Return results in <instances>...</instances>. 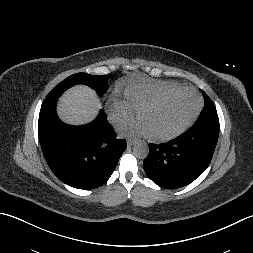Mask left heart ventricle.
Here are the masks:
<instances>
[{
	"label": "left heart ventricle",
	"instance_id": "1",
	"mask_svg": "<svg viewBox=\"0 0 253 253\" xmlns=\"http://www.w3.org/2000/svg\"><path fill=\"white\" fill-rule=\"evenodd\" d=\"M197 98L190 92H181L163 104L145 111L140 120L150 134L165 135L182 125L194 112Z\"/></svg>",
	"mask_w": 253,
	"mask_h": 253
}]
</instances>
